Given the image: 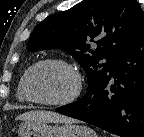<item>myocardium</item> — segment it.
I'll use <instances>...</instances> for the list:
<instances>
[{
  "label": "myocardium",
  "instance_id": "obj_1",
  "mask_svg": "<svg viewBox=\"0 0 144 137\" xmlns=\"http://www.w3.org/2000/svg\"><path fill=\"white\" fill-rule=\"evenodd\" d=\"M47 64L58 65V66L64 67L69 72H71L72 75L74 76L75 87H74L72 93L68 97H66L62 100L50 101V100L39 99L32 95V93L30 91L31 75L38 67L47 65ZM82 89H83V79H82L81 73L78 70V68L66 60L57 59V58L42 59V60L34 63L25 72L24 81H23L24 94L26 95V97L29 101L34 102L36 104L51 106V107H61V106H66V105L73 103L80 96Z\"/></svg>",
  "mask_w": 144,
  "mask_h": 137
}]
</instances>
